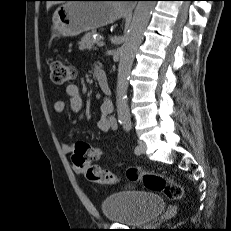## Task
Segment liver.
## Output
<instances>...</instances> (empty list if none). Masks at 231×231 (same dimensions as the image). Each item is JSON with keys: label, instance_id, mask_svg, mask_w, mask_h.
Wrapping results in <instances>:
<instances>
[{"label": "liver", "instance_id": "liver-1", "mask_svg": "<svg viewBox=\"0 0 231 231\" xmlns=\"http://www.w3.org/2000/svg\"><path fill=\"white\" fill-rule=\"evenodd\" d=\"M53 5V3H47V9H49L51 6Z\"/></svg>", "mask_w": 231, "mask_h": 231}]
</instances>
